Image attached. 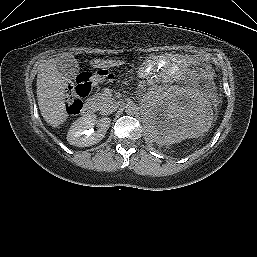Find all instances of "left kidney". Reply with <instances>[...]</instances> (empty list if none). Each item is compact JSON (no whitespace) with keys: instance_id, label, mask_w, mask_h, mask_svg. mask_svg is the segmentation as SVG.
I'll use <instances>...</instances> for the list:
<instances>
[{"instance_id":"5707ae66","label":"left kidney","mask_w":257,"mask_h":257,"mask_svg":"<svg viewBox=\"0 0 257 257\" xmlns=\"http://www.w3.org/2000/svg\"><path fill=\"white\" fill-rule=\"evenodd\" d=\"M143 115L151 139L160 145L198 137L210 125L204 98L195 91L178 87L152 95Z\"/></svg>"}]
</instances>
